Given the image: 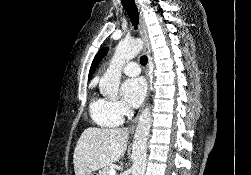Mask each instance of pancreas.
I'll use <instances>...</instances> for the list:
<instances>
[{"label": "pancreas", "mask_w": 251, "mask_h": 175, "mask_svg": "<svg viewBox=\"0 0 251 175\" xmlns=\"http://www.w3.org/2000/svg\"><path fill=\"white\" fill-rule=\"evenodd\" d=\"M110 169L111 165H106V167H102L101 171H99V175H109Z\"/></svg>", "instance_id": "obj_1"}]
</instances>
